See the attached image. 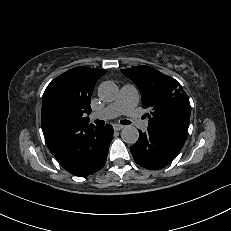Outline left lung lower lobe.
Segmentation results:
<instances>
[{
  "label": "left lung lower lobe",
  "instance_id": "obj_1",
  "mask_svg": "<svg viewBox=\"0 0 231 231\" xmlns=\"http://www.w3.org/2000/svg\"><path fill=\"white\" fill-rule=\"evenodd\" d=\"M187 135L165 128L148 126V131L139 130L138 141L130 147L135 162L147 169L167 166L182 149Z\"/></svg>",
  "mask_w": 231,
  "mask_h": 231
}]
</instances>
